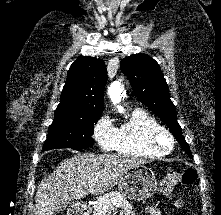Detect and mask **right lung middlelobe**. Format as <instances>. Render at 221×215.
Segmentation results:
<instances>
[{
    "instance_id": "obj_1",
    "label": "right lung middle lobe",
    "mask_w": 221,
    "mask_h": 215,
    "mask_svg": "<svg viewBox=\"0 0 221 215\" xmlns=\"http://www.w3.org/2000/svg\"><path fill=\"white\" fill-rule=\"evenodd\" d=\"M101 114L84 112L55 113L49 127L44 150L55 148L85 149L94 144V124Z\"/></svg>"
}]
</instances>
